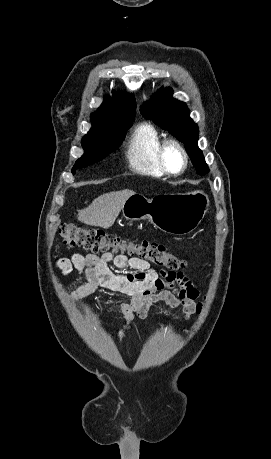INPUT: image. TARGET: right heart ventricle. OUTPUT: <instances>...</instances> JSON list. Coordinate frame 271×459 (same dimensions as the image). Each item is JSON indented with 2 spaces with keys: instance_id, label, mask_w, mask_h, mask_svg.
Segmentation results:
<instances>
[{
  "instance_id": "obj_1",
  "label": "right heart ventricle",
  "mask_w": 271,
  "mask_h": 459,
  "mask_svg": "<svg viewBox=\"0 0 271 459\" xmlns=\"http://www.w3.org/2000/svg\"><path fill=\"white\" fill-rule=\"evenodd\" d=\"M163 139L160 130L149 122L138 124L132 131L126 147V159L132 171L153 178L168 176L157 155Z\"/></svg>"
}]
</instances>
